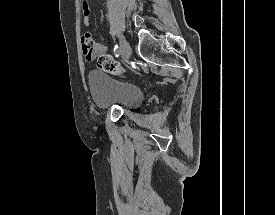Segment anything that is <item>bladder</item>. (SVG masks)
<instances>
[{
    "mask_svg": "<svg viewBox=\"0 0 275 215\" xmlns=\"http://www.w3.org/2000/svg\"><path fill=\"white\" fill-rule=\"evenodd\" d=\"M88 82L94 104L99 109L114 106L135 108L144 101L142 88L131 82L118 81L99 70L88 73Z\"/></svg>",
    "mask_w": 275,
    "mask_h": 215,
    "instance_id": "bladder-1",
    "label": "bladder"
}]
</instances>
